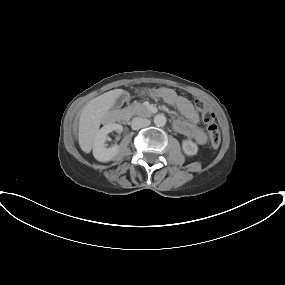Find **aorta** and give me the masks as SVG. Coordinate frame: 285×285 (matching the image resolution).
Masks as SVG:
<instances>
[{"label":"aorta","mask_w":285,"mask_h":285,"mask_svg":"<svg viewBox=\"0 0 285 285\" xmlns=\"http://www.w3.org/2000/svg\"><path fill=\"white\" fill-rule=\"evenodd\" d=\"M166 122H167V119L164 114H158L154 117V123L158 127L165 126Z\"/></svg>","instance_id":"762f6f07"}]
</instances>
